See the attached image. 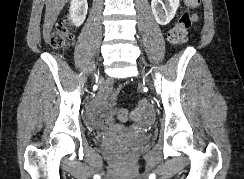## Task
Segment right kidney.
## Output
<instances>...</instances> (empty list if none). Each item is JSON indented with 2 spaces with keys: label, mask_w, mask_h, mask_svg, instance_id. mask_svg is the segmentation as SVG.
Here are the masks:
<instances>
[{
  "label": "right kidney",
  "mask_w": 244,
  "mask_h": 179,
  "mask_svg": "<svg viewBox=\"0 0 244 179\" xmlns=\"http://www.w3.org/2000/svg\"><path fill=\"white\" fill-rule=\"evenodd\" d=\"M88 10L87 0H71L69 10V20L79 28L85 22Z\"/></svg>",
  "instance_id": "1"
}]
</instances>
